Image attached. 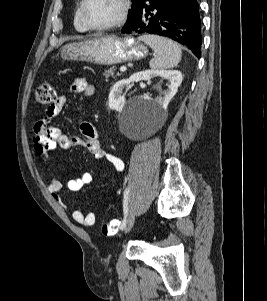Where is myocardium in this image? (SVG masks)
Listing matches in <instances>:
<instances>
[{
  "label": "myocardium",
  "instance_id": "obj_1",
  "mask_svg": "<svg viewBox=\"0 0 267 301\" xmlns=\"http://www.w3.org/2000/svg\"><path fill=\"white\" fill-rule=\"evenodd\" d=\"M120 2H121V11L118 18L109 24L97 26L91 24L86 17V6L88 0H81L80 18L85 28L87 30H92V31H110L121 27L127 20L130 7H131V2L130 0H120Z\"/></svg>",
  "mask_w": 267,
  "mask_h": 301
}]
</instances>
